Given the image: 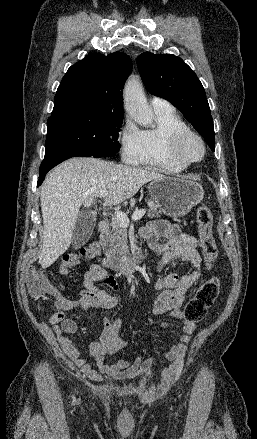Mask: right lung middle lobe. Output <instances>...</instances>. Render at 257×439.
I'll return each instance as SVG.
<instances>
[{"instance_id": "dd1d6c3e", "label": "right lung middle lobe", "mask_w": 257, "mask_h": 439, "mask_svg": "<svg viewBox=\"0 0 257 439\" xmlns=\"http://www.w3.org/2000/svg\"><path fill=\"white\" fill-rule=\"evenodd\" d=\"M123 114L72 111L48 118L45 159L64 154L113 156Z\"/></svg>"}]
</instances>
